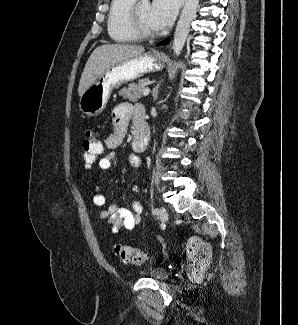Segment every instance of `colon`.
<instances>
[{
  "label": "colon",
  "mask_w": 298,
  "mask_h": 325,
  "mask_svg": "<svg viewBox=\"0 0 298 325\" xmlns=\"http://www.w3.org/2000/svg\"><path fill=\"white\" fill-rule=\"evenodd\" d=\"M102 151L103 143L98 133L87 129L81 145V158L85 167H90L94 164ZM186 252L193 278L200 279L210 264V246L200 238L193 237L187 243ZM115 254L126 264L141 265L146 261L142 251L127 245H116Z\"/></svg>",
  "instance_id": "obj_1"
}]
</instances>
